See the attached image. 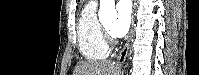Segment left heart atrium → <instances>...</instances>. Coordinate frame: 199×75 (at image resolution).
Here are the masks:
<instances>
[{"label": "left heart atrium", "instance_id": "obj_1", "mask_svg": "<svg viewBox=\"0 0 199 75\" xmlns=\"http://www.w3.org/2000/svg\"><path fill=\"white\" fill-rule=\"evenodd\" d=\"M131 25V9L128 1L117 4V18L110 27V32L115 38L125 36Z\"/></svg>", "mask_w": 199, "mask_h": 75}]
</instances>
